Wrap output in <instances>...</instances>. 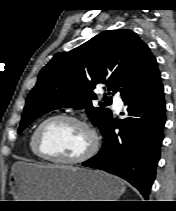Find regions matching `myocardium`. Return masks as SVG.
<instances>
[{
  "mask_svg": "<svg viewBox=\"0 0 176 211\" xmlns=\"http://www.w3.org/2000/svg\"><path fill=\"white\" fill-rule=\"evenodd\" d=\"M58 120H66V121L74 122L76 124L83 126L88 131V133L90 134L91 142H90L89 148L82 155L75 158H62V157L48 154L43 149V146L41 143V133L43 129L48 124L54 121H58ZM33 141H34V148L37 154L42 159H46V160L54 161L58 163H63V164H78V163L85 162L86 160L91 158L97 152L99 148V136L96 129L85 119L75 116V115H71V114H56L43 120L35 129Z\"/></svg>",
  "mask_w": 176,
  "mask_h": 211,
  "instance_id": "myocardium-1",
  "label": "myocardium"
}]
</instances>
